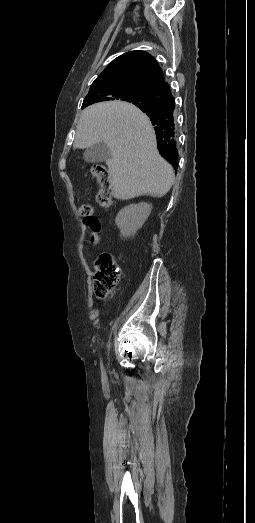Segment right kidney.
<instances>
[{"instance_id":"1","label":"right kidney","mask_w":255,"mask_h":523,"mask_svg":"<svg viewBox=\"0 0 255 523\" xmlns=\"http://www.w3.org/2000/svg\"><path fill=\"white\" fill-rule=\"evenodd\" d=\"M151 206L146 202L140 204H130L126 208H122L116 216V224L123 236L129 238L133 236L137 230L142 228L145 220L150 216Z\"/></svg>"}]
</instances>
